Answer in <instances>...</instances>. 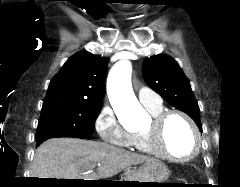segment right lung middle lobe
<instances>
[{"label":"right lung middle lobe","instance_id":"1","mask_svg":"<svg viewBox=\"0 0 240 187\" xmlns=\"http://www.w3.org/2000/svg\"><path fill=\"white\" fill-rule=\"evenodd\" d=\"M102 104L67 103L42 107L36 140L54 137L90 139Z\"/></svg>","mask_w":240,"mask_h":187}]
</instances>
